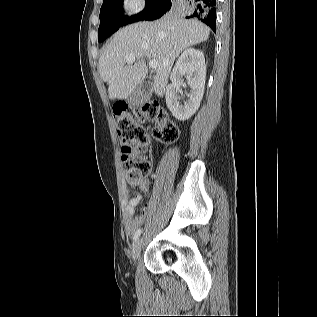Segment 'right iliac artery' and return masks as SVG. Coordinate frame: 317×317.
Instances as JSON below:
<instances>
[{
    "mask_svg": "<svg viewBox=\"0 0 317 317\" xmlns=\"http://www.w3.org/2000/svg\"><path fill=\"white\" fill-rule=\"evenodd\" d=\"M141 232H142V229H140V228L135 232V234L133 236L134 241H136L139 238V236L141 235Z\"/></svg>",
    "mask_w": 317,
    "mask_h": 317,
    "instance_id": "1",
    "label": "right iliac artery"
}]
</instances>
